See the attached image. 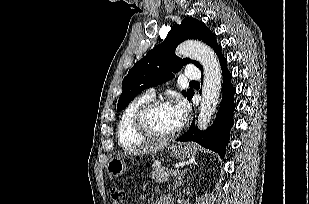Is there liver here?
<instances>
[{"label":"liver","instance_id":"liver-1","mask_svg":"<svg viewBox=\"0 0 309 204\" xmlns=\"http://www.w3.org/2000/svg\"><path fill=\"white\" fill-rule=\"evenodd\" d=\"M168 145L167 141L130 149L124 152L125 155H147L163 150Z\"/></svg>","mask_w":309,"mask_h":204}]
</instances>
